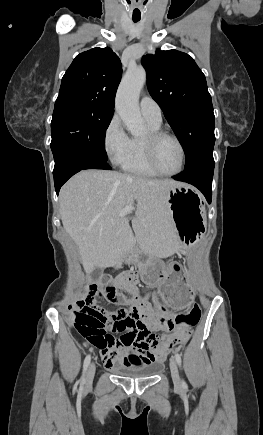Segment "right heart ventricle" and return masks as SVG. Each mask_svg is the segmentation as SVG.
Listing matches in <instances>:
<instances>
[{
  "mask_svg": "<svg viewBox=\"0 0 263 435\" xmlns=\"http://www.w3.org/2000/svg\"><path fill=\"white\" fill-rule=\"evenodd\" d=\"M149 131L159 130L161 123H155L146 119ZM122 168L133 175L155 177V173L149 166L146 158L144 138L133 137L130 139L128 154L122 163Z\"/></svg>",
  "mask_w": 263,
  "mask_h": 435,
  "instance_id": "obj_1",
  "label": "right heart ventricle"
}]
</instances>
